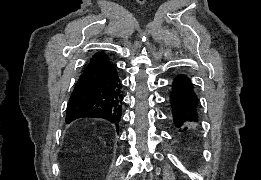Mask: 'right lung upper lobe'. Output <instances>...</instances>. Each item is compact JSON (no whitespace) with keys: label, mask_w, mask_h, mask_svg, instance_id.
Instances as JSON below:
<instances>
[{"label":"right lung upper lobe","mask_w":261,"mask_h":180,"mask_svg":"<svg viewBox=\"0 0 261 180\" xmlns=\"http://www.w3.org/2000/svg\"><path fill=\"white\" fill-rule=\"evenodd\" d=\"M106 61H109V58L107 57V55L105 53H96L90 59L89 63L87 64V66L85 68L96 65V64H100V63H103Z\"/></svg>","instance_id":"cb5924a9"}]
</instances>
